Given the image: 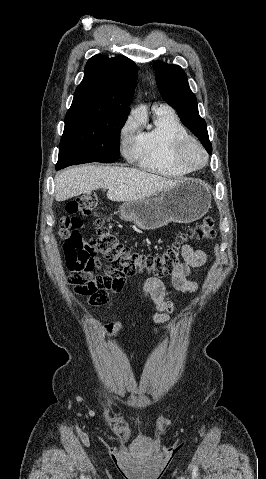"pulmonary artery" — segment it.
<instances>
[{
	"mask_svg": "<svg viewBox=\"0 0 266 479\" xmlns=\"http://www.w3.org/2000/svg\"><path fill=\"white\" fill-rule=\"evenodd\" d=\"M156 109H168V108L165 105H159L156 107Z\"/></svg>",
	"mask_w": 266,
	"mask_h": 479,
	"instance_id": "pulmonary-artery-1",
	"label": "pulmonary artery"
}]
</instances>
